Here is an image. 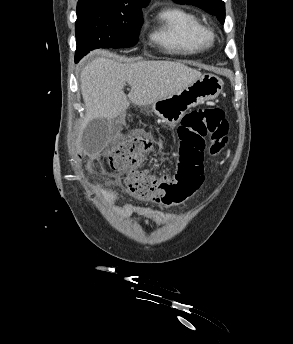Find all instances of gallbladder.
<instances>
[{"instance_id":"gallbladder-1","label":"gallbladder","mask_w":293,"mask_h":344,"mask_svg":"<svg viewBox=\"0 0 293 344\" xmlns=\"http://www.w3.org/2000/svg\"><path fill=\"white\" fill-rule=\"evenodd\" d=\"M110 136L109 122L105 118H96L88 122L83 130L81 144L88 154L98 153Z\"/></svg>"}]
</instances>
